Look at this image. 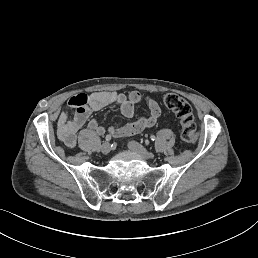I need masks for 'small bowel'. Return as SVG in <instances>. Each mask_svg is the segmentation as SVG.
<instances>
[{"instance_id": "1", "label": "small bowel", "mask_w": 258, "mask_h": 258, "mask_svg": "<svg viewBox=\"0 0 258 258\" xmlns=\"http://www.w3.org/2000/svg\"><path fill=\"white\" fill-rule=\"evenodd\" d=\"M145 100L149 114L141 116L125 125H111L105 127L96 119H89L94 111H99L106 106H117L126 118L135 114V105ZM68 106L74 109V114L69 115L63 111L57 120V133L59 139L70 148L77 143L79 131L86 125L87 132L103 135L109 132L115 137L131 136L153 127L161 116L158 102L150 97L144 98L138 91H131L128 95L114 91H97L90 94H76L68 100Z\"/></svg>"}]
</instances>
